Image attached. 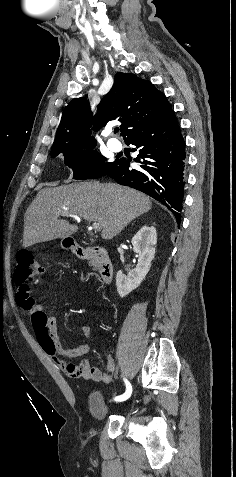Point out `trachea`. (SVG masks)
I'll list each match as a JSON object with an SVG mask.
<instances>
[{"mask_svg": "<svg viewBox=\"0 0 236 477\" xmlns=\"http://www.w3.org/2000/svg\"><path fill=\"white\" fill-rule=\"evenodd\" d=\"M118 132H119V127H116V128L114 129V133H118Z\"/></svg>", "mask_w": 236, "mask_h": 477, "instance_id": "obj_1", "label": "trachea"}]
</instances>
